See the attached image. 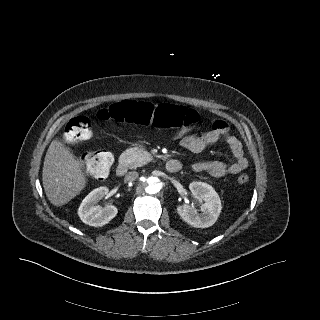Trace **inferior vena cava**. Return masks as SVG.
I'll return each mask as SVG.
<instances>
[{
  "instance_id": "1",
  "label": "inferior vena cava",
  "mask_w": 320,
  "mask_h": 320,
  "mask_svg": "<svg viewBox=\"0 0 320 320\" xmlns=\"http://www.w3.org/2000/svg\"><path fill=\"white\" fill-rule=\"evenodd\" d=\"M138 172H136V171H131V172H128L127 174H126V176L124 177V181L125 182H132V181H134L135 179H137L138 178Z\"/></svg>"
}]
</instances>
